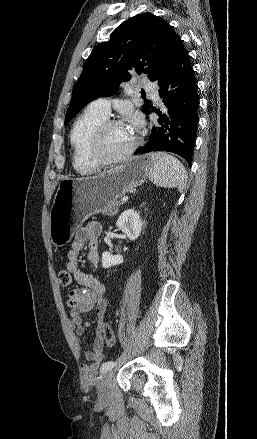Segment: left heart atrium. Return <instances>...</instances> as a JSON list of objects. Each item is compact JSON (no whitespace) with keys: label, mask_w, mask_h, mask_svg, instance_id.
Instances as JSON below:
<instances>
[{"label":"left heart atrium","mask_w":257,"mask_h":439,"mask_svg":"<svg viewBox=\"0 0 257 439\" xmlns=\"http://www.w3.org/2000/svg\"><path fill=\"white\" fill-rule=\"evenodd\" d=\"M129 120L132 126H138L142 122V118L139 113H133L129 116Z\"/></svg>","instance_id":"obj_1"}]
</instances>
